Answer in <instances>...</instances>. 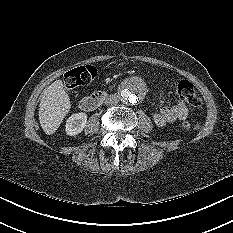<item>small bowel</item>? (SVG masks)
<instances>
[{"label":"small bowel","mask_w":233,"mask_h":233,"mask_svg":"<svg viewBox=\"0 0 233 233\" xmlns=\"http://www.w3.org/2000/svg\"><path fill=\"white\" fill-rule=\"evenodd\" d=\"M189 110L183 102H178L171 106H164L156 110L152 114L154 123L158 127H165L178 120H183L188 117Z\"/></svg>","instance_id":"obj_1"}]
</instances>
